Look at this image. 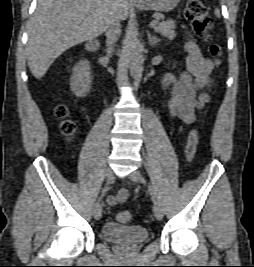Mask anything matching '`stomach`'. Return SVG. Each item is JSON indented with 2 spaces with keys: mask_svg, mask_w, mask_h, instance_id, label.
I'll use <instances>...</instances> for the list:
<instances>
[{
  "mask_svg": "<svg viewBox=\"0 0 254 267\" xmlns=\"http://www.w3.org/2000/svg\"><path fill=\"white\" fill-rule=\"evenodd\" d=\"M180 0H140L135 6L141 10H154L157 12L172 11Z\"/></svg>",
  "mask_w": 254,
  "mask_h": 267,
  "instance_id": "0dacf381",
  "label": "stomach"
}]
</instances>
